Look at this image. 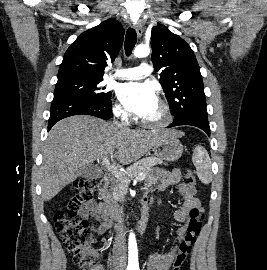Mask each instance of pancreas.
I'll return each mask as SVG.
<instances>
[{
    "instance_id": "obj_1",
    "label": "pancreas",
    "mask_w": 267,
    "mask_h": 270,
    "mask_svg": "<svg viewBox=\"0 0 267 270\" xmlns=\"http://www.w3.org/2000/svg\"><path fill=\"white\" fill-rule=\"evenodd\" d=\"M163 161L156 157H146L130 167L127 168V173L129 175L135 176V177H146V175L151 171L152 167L158 164H162ZM124 176L127 178V175L124 174ZM127 186L128 183L117 179L115 187L112 188V193L107 195V199L111 201V199L115 200H122L124 199V196L127 192Z\"/></svg>"
}]
</instances>
